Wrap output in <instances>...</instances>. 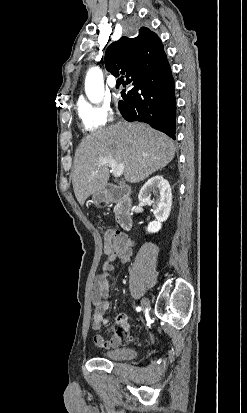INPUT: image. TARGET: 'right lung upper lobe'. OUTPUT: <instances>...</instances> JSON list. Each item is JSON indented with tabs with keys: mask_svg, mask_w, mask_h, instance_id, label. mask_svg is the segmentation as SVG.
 I'll return each instance as SVG.
<instances>
[{
	"mask_svg": "<svg viewBox=\"0 0 247 413\" xmlns=\"http://www.w3.org/2000/svg\"><path fill=\"white\" fill-rule=\"evenodd\" d=\"M167 61L164 46L154 32L141 27L135 37H122L109 45L105 66L113 75L120 72L126 78L142 75Z\"/></svg>",
	"mask_w": 247,
	"mask_h": 413,
	"instance_id": "right-lung-upper-lobe-1",
	"label": "right lung upper lobe"
}]
</instances>
